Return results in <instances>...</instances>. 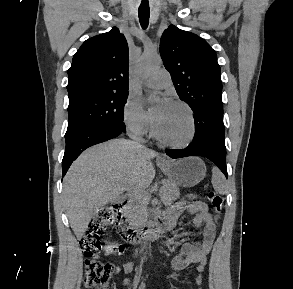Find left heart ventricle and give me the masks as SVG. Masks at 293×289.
<instances>
[{"label":"left heart ventricle","mask_w":293,"mask_h":289,"mask_svg":"<svg viewBox=\"0 0 293 289\" xmlns=\"http://www.w3.org/2000/svg\"><path fill=\"white\" fill-rule=\"evenodd\" d=\"M160 137L171 142H181L189 134L190 121L187 111L171 104L163 117L154 124Z\"/></svg>","instance_id":"left-heart-ventricle-1"}]
</instances>
